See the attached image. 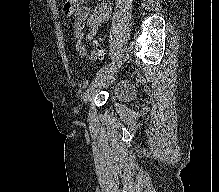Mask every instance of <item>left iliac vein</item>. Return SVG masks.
Here are the masks:
<instances>
[{
  "mask_svg": "<svg viewBox=\"0 0 219 192\" xmlns=\"http://www.w3.org/2000/svg\"><path fill=\"white\" fill-rule=\"evenodd\" d=\"M121 64L122 60H117L113 62L107 71L96 76V78L90 83L88 89L84 93L83 99L85 102H90L103 85H109L113 82V76L118 71Z\"/></svg>",
  "mask_w": 219,
  "mask_h": 192,
  "instance_id": "obj_1",
  "label": "left iliac vein"
}]
</instances>
